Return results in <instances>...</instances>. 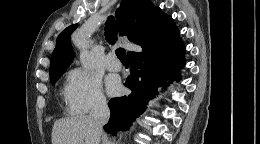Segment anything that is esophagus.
I'll return each instance as SVG.
<instances>
[{"label": "esophagus", "mask_w": 260, "mask_h": 144, "mask_svg": "<svg viewBox=\"0 0 260 144\" xmlns=\"http://www.w3.org/2000/svg\"><path fill=\"white\" fill-rule=\"evenodd\" d=\"M121 41L124 42V41H125V38H124V37H121Z\"/></svg>", "instance_id": "esophagus-1"}]
</instances>
